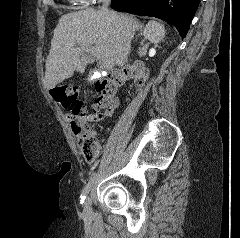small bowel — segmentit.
<instances>
[{
    "instance_id": "1",
    "label": "small bowel",
    "mask_w": 240,
    "mask_h": 238,
    "mask_svg": "<svg viewBox=\"0 0 240 238\" xmlns=\"http://www.w3.org/2000/svg\"><path fill=\"white\" fill-rule=\"evenodd\" d=\"M117 106H118V100H115L114 104L110 108L106 109L104 113H102V114H85L80 117V120L84 124L100 121L105 117L111 116L114 113ZM68 118H71L70 114H68Z\"/></svg>"
}]
</instances>
